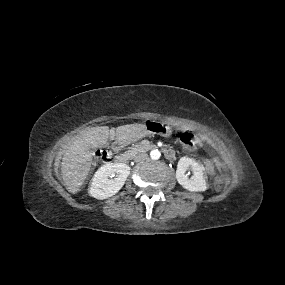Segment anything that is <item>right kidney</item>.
I'll return each instance as SVG.
<instances>
[{
  "instance_id": "obj_1",
  "label": "right kidney",
  "mask_w": 285,
  "mask_h": 285,
  "mask_svg": "<svg viewBox=\"0 0 285 285\" xmlns=\"http://www.w3.org/2000/svg\"><path fill=\"white\" fill-rule=\"evenodd\" d=\"M129 174L130 167L125 163L103 165L92 178L89 186L90 196L102 200L115 195L123 187ZM113 176L115 177L109 178Z\"/></svg>"
}]
</instances>
